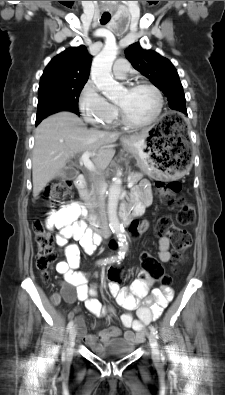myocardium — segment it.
Listing matches in <instances>:
<instances>
[{
  "instance_id": "f54148a6",
  "label": "myocardium",
  "mask_w": 225,
  "mask_h": 395,
  "mask_svg": "<svg viewBox=\"0 0 225 395\" xmlns=\"http://www.w3.org/2000/svg\"><path fill=\"white\" fill-rule=\"evenodd\" d=\"M138 88H147L149 90H151L155 97H156V109L155 112L153 113V115L146 121L143 122H134L131 121L126 114L124 113L123 109L118 106L119 109V114H120V118L121 121L124 125L128 126V127H132V128H143V127H147L150 126L151 124H153L154 122H156V120L159 118L161 112H162V108H163V97L162 94L160 92V90L153 84L145 82V81H138L135 83L130 84L127 89L132 91Z\"/></svg>"
}]
</instances>
